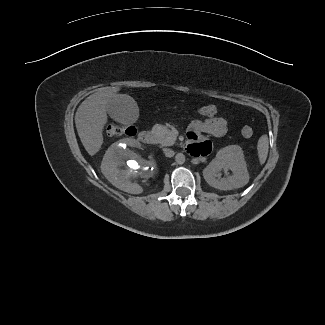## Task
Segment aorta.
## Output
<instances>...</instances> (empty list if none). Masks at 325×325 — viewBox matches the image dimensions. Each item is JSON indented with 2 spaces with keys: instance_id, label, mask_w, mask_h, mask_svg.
I'll list each match as a JSON object with an SVG mask.
<instances>
[{
  "instance_id": "obj_1",
  "label": "aorta",
  "mask_w": 325,
  "mask_h": 325,
  "mask_svg": "<svg viewBox=\"0 0 325 325\" xmlns=\"http://www.w3.org/2000/svg\"><path fill=\"white\" fill-rule=\"evenodd\" d=\"M175 161L180 165L183 164L185 162V155L182 153H178L175 157Z\"/></svg>"
}]
</instances>
